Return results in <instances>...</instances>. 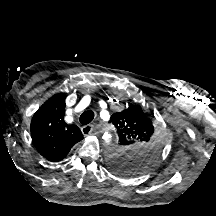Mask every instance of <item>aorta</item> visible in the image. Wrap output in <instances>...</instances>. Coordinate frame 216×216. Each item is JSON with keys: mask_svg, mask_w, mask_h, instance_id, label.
<instances>
[{"mask_svg": "<svg viewBox=\"0 0 216 216\" xmlns=\"http://www.w3.org/2000/svg\"><path fill=\"white\" fill-rule=\"evenodd\" d=\"M110 139H111V135L106 133L105 136H104V140L109 143L110 142Z\"/></svg>", "mask_w": 216, "mask_h": 216, "instance_id": "obj_1", "label": "aorta"}]
</instances>
